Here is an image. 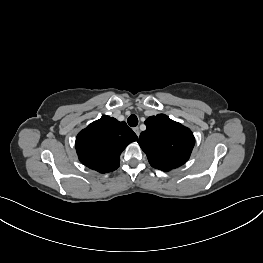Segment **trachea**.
I'll return each instance as SVG.
<instances>
[{
	"instance_id": "obj_1",
	"label": "trachea",
	"mask_w": 263,
	"mask_h": 263,
	"mask_svg": "<svg viewBox=\"0 0 263 263\" xmlns=\"http://www.w3.org/2000/svg\"><path fill=\"white\" fill-rule=\"evenodd\" d=\"M129 126L131 127H136L138 125V118L136 115H130L128 120H127Z\"/></svg>"
}]
</instances>
